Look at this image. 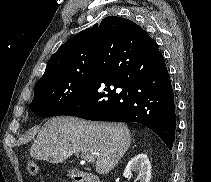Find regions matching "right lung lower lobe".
Instances as JSON below:
<instances>
[{
	"label": "right lung lower lobe",
	"instance_id": "right-lung-lower-lobe-1",
	"mask_svg": "<svg viewBox=\"0 0 211 182\" xmlns=\"http://www.w3.org/2000/svg\"><path fill=\"white\" fill-rule=\"evenodd\" d=\"M60 115L143 124L172 149L176 115L173 90L157 43L103 34L87 87Z\"/></svg>",
	"mask_w": 211,
	"mask_h": 182
}]
</instances>
